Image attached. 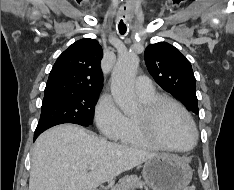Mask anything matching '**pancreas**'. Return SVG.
<instances>
[{
    "mask_svg": "<svg viewBox=\"0 0 234 190\" xmlns=\"http://www.w3.org/2000/svg\"><path fill=\"white\" fill-rule=\"evenodd\" d=\"M136 188L149 190L137 175H131L122 178L111 190H135Z\"/></svg>",
    "mask_w": 234,
    "mask_h": 190,
    "instance_id": "obj_1",
    "label": "pancreas"
}]
</instances>
